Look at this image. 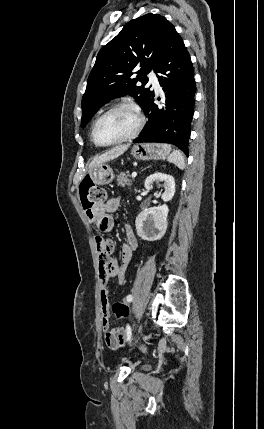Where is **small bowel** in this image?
Instances as JSON below:
<instances>
[{
	"mask_svg": "<svg viewBox=\"0 0 264 429\" xmlns=\"http://www.w3.org/2000/svg\"><path fill=\"white\" fill-rule=\"evenodd\" d=\"M120 205L121 199L119 197L109 198L99 204L92 214L86 212L87 219L90 223H95L101 231H110L115 225L112 213L117 211ZM125 234L126 243L121 246L120 261L112 257L115 247L112 240L104 239L100 236L95 237V246L99 258L102 329L105 333V344L111 350H117L121 346L119 333L122 332L125 336L126 334L123 328L110 329L109 281L112 278H116L118 284H124L127 267L133 252L138 248V239L131 226H125Z\"/></svg>",
	"mask_w": 264,
	"mask_h": 429,
	"instance_id": "1",
	"label": "small bowel"
}]
</instances>
